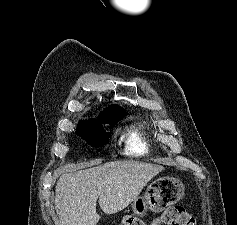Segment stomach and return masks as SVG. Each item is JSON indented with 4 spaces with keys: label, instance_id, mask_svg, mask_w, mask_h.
<instances>
[{
    "label": "stomach",
    "instance_id": "stomach-1",
    "mask_svg": "<svg viewBox=\"0 0 237 225\" xmlns=\"http://www.w3.org/2000/svg\"><path fill=\"white\" fill-rule=\"evenodd\" d=\"M184 194V185L172 177H161L154 180L147 188L144 197H138L132 202L135 216L143 217L148 209L161 212L168 205L179 201Z\"/></svg>",
    "mask_w": 237,
    "mask_h": 225
}]
</instances>
